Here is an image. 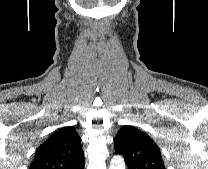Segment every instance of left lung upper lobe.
I'll return each mask as SVG.
<instances>
[{
	"label": "left lung upper lobe",
	"mask_w": 208,
	"mask_h": 169,
	"mask_svg": "<svg viewBox=\"0 0 208 169\" xmlns=\"http://www.w3.org/2000/svg\"><path fill=\"white\" fill-rule=\"evenodd\" d=\"M115 153L124 156L128 169H165L155 142L134 126H122L114 139Z\"/></svg>",
	"instance_id": "5c2ea615"
}]
</instances>
